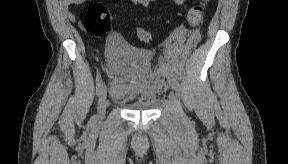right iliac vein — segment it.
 Masks as SVG:
<instances>
[{
	"label": "right iliac vein",
	"instance_id": "right-iliac-vein-1",
	"mask_svg": "<svg viewBox=\"0 0 288 164\" xmlns=\"http://www.w3.org/2000/svg\"><path fill=\"white\" fill-rule=\"evenodd\" d=\"M108 102H107V90L106 87L103 86L100 93H99V99H98V114L97 118L98 120H102L106 113Z\"/></svg>",
	"mask_w": 288,
	"mask_h": 164
}]
</instances>
